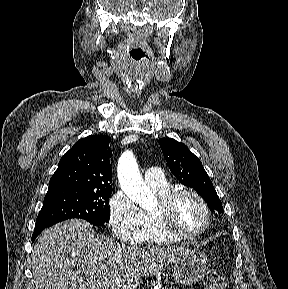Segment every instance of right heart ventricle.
Wrapping results in <instances>:
<instances>
[{
    "label": "right heart ventricle",
    "instance_id": "e07e8e85",
    "mask_svg": "<svg viewBox=\"0 0 288 289\" xmlns=\"http://www.w3.org/2000/svg\"><path fill=\"white\" fill-rule=\"evenodd\" d=\"M157 194L160 196L171 190V187L166 184L163 187H151ZM146 222H147V231L143 239V243L147 244H156V245H166L171 244L176 241V239L170 237L160 228L158 221L156 219L154 210L144 212Z\"/></svg>",
    "mask_w": 288,
    "mask_h": 289
}]
</instances>
